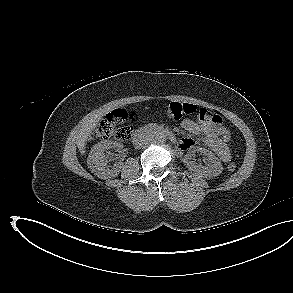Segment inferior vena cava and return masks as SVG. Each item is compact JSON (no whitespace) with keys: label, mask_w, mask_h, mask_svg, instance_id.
<instances>
[{"label":"inferior vena cava","mask_w":293,"mask_h":293,"mask_svg":"<svg viewBox=\"0 0 293 293\" xmlns=\"http://www.w3.org/2000/svg\"><path fill=\"white\" fill-rule=\"evenodd\" d=\"M152 141L151 137L143 136L139 140L135 141L136 148H141L147 146Z\"/></svg>","instance_id":"1"}]
</instances>
